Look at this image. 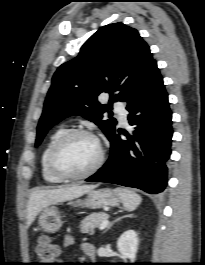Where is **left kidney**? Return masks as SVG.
Masks as SVG:
<instances>
[{"instance_id":"left-kidney-1","label":"left kidney","mask_w":205,"mask_h":265,"mask_svg":"<svg viewBox=\"0 0 205 265\" xmlns=\"http://www.w3.org/2000/svg\"><path fill=\"white\" fill-rule=\"evenodd\" d=\"M138 234L134 230H127L117 241V248L120 254L134 262L138 250Z\"/></svg>"}]
</instances>
